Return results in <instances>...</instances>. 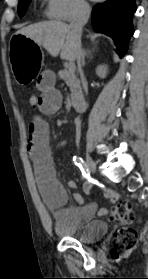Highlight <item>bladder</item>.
<instances>
[{"label":"bladder","instance_id":"1","mask_svg":"<svg viewBox=\"0 0 148 279\" xmlns=\"http://www.w3.org/2000/svg\"><path fill=\"white\" fill-rule=\"evenodd\" d=\"M107 224L101 220H94L82 225H68L58 219L55 231L65 237L81 243H93L102 239L107 233Z\"/></svg>","mask_w":148,"mask_h":279}]
</instances>
